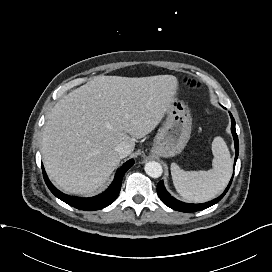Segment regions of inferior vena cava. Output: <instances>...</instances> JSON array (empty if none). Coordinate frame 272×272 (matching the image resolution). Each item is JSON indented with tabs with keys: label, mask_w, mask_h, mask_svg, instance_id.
<instances>
[{
	"label": "inferior vena cava",
	"mask_w": 272,
	"mask_h": 272,
	"mask_svg": "<svg viewBox=\"0 0 272 272\" xmlns=\"http://www.w3.org/2000/svg\"><path fill=\"white\" fill-rule=\"evenodd\" d=\"M115 151L121 158H125L131 153V147L129 144L121 142L115 147Z\"/></svg>",
	"instance_id": "602c4592"
}]
</instances>
